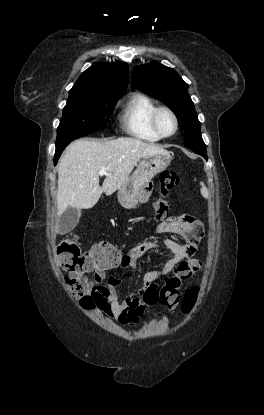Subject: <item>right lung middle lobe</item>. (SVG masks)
Returning a JSON list of instances; mask_svg holds the SVG:
<instances>
[{"label":"right lung middle lobe","mask_w":264,"mask_h":415,"mask_svg":"<svg viewBox=\"0 0 264 415\" xmlns=\"http://www.w3.org/2000/svg\"><path fill=\"white\" fill-rule=\"evenodd\" d=\"M121 95L69 97L57 128L56 150L105 128Z\"/></svg>","instance_id":"dd1d6c3e"}]
</instances>
